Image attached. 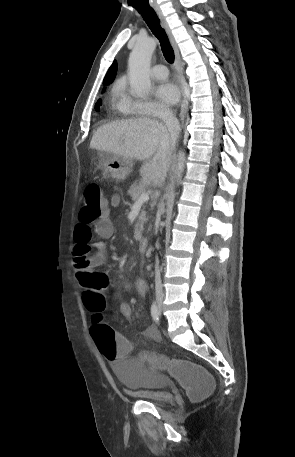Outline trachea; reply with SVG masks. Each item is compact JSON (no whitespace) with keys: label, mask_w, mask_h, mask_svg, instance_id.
<instances>
[{"label":"trachea","mask_w":295,"mask_h":457,"mask_svg":"<svg viewBox=\"0 0 295 457\" xmlns=\"http://www.w3.org/2000/svg\"><path fill=\"white\" fill-rule=\"evenodd\" d=\"M136 9L139 13H141L144 21L155 37L159 40L166 61L172 64L175 58L174 51L169 43L165 30L160 25V20L156 12L149 6V4L146 6L136 5Z\"/></svg>","instance_id":"3493384b"}]
</instances>
